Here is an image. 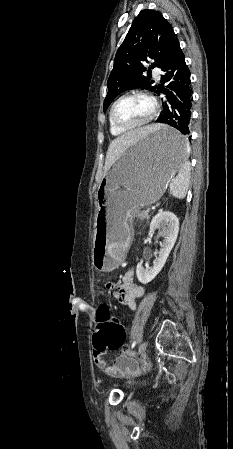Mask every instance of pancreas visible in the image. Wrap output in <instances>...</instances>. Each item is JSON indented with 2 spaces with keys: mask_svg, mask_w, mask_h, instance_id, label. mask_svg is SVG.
<instances>
[{
  "mask_svg": "<svg viewBox=\"0 0 233 449\" xmlns=\"http://www.w3.org/2000/svg\"><path fill=\"white\" fill-rule=\"evenodd\" d=\"M134 217L139 218L140 220L149 219V215L146 211H136L134 213Z\"/></svg>",
  "mask_w": 233,
  "mask_h": 449,
  "instance_id": "pancreas-1",
  "label": "pancreas"
}]
</instances>
